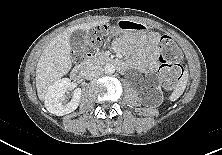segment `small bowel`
I'll return each mask as SVG.
<instances>
[{
    "label": "small bowel",
    "mask_w": 222,
    "mask_h": 155,
    "mask_svg": "<svg viewBox=\"0 0 222 155\" xmlns=\"http://www.w3.org/2000/svg\"><path fill=\"white\" fill-rule=\"evenodd\" d=\"M157 35H152L149 43L145 48H142L138 54V58L135 61V65L140 69L144 70L146 68L150 70H155L157 68L156 56L158 53L157 48ZM116 49H124L125 42L123 40H118L115 42Z\"/></svg>",
    "instance_id": "small-bowel-1"
}]
</instances>
